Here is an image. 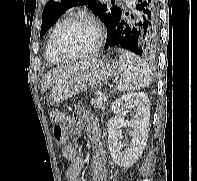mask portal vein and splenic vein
I'll use <instances>...</instances> for the list:
<instances>
[{
	"mask_svg": "<svg viewBox=\"0 0 197 181\" xmlns=\"http://www.w3.org/2000/svg\"><path fill=\"white\" fill-rule=\"evenodd\" d=\"M99 99L102 100L103 102H105L107 100L106 96L104 94H100Z\"/></svg>",
	"mask_w": 197,
	"mask_h": 181,
	"instance_id": "obj_1",
	"label": "portal vein and splenic vein"
}]
</instances>
